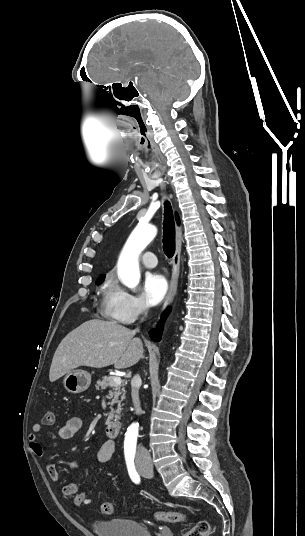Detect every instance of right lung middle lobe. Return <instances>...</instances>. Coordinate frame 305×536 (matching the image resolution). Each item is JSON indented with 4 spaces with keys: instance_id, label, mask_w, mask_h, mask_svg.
<instances>
[{
    "instance_id": "dd1d6c3e",
    "label": "right lung middle lobe",
    "mask_w": 305,
    "mask_h": 536,
    "mask_svg": "<svg viewBox=\"0 0 305 536\" xmlns=\"http://www.w3.org/2000/svg\"><path fill=\"white\" fill-rule=\"evenodd\" d=\"M103 280H104V277L97 279L96 284L97 285L101 284L103 282Z\"/></svg>"
}]
</instances>
